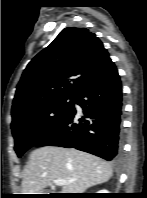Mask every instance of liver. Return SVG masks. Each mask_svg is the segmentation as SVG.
I'll return each mask as SVG.
<instances>
[{"instance_id":"obj_1","label":"liver","mask_w":147,"mask_h":198,"mask_svg":"<svg viewBox=\"0 0 147 198\" xmlns=\"http://www.w3.org/2000/svg\"><path fill=\"white\" fill-rule=\"evenodd\" d=\"M113 175L110 163L73 148L44 146L34 150L24 169L22 194H43L54 180L68 183L61 193H83L87 188L108 181Z\"/></svg>"}]
</instances>
